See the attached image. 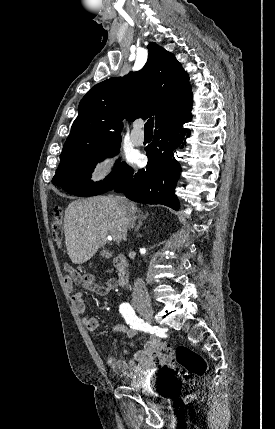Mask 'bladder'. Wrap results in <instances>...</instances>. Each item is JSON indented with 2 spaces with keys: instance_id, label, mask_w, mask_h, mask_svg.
<instances>
[{
  "instance_id": "obj_1",
  "label": "bladder",
  "mask_w": 275,
  "mask_h": 429,
  "mask_svg": "<svg viewBox=\"0 0 275 429\" xmlns=\"http://www.w3.org/2000/svg\"><path fill=\"white\" fill-rule=\"evenodd\" d=\"M130 386L136 393H141L142 398H159L161 403H166L168 398H178L175 377H146L142 381H132Z\"/></svg>"
}]
</instances>
